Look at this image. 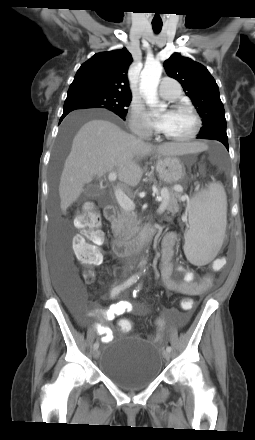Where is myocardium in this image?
Masks as SVG:
<instances>
[{
    "label": "myocardium",
    "mask_w": 255,
    "mask_h": 440,
    "mask_svg": "<svg viewBox=\"0 0 255 440\" xmlns=\"http://www.w3.org/2000/svg\"><path fill=\"white\" fill-rule=\"evenodd\" d=\"M173 109L174 110H185V111H187L192 116V118L194 120V128L185 137L175 138V137L169 136L167 134H163L164 138L167 139V140L178 142V143L188 142V141H191L194 138H196L197 135L199 134L201 126H202V121H201V118L198 115V113L191 106H189L187 104H183V103H176L173 106Z\"/></svg>",
    "instance_id": "1"
}]
</instances>
